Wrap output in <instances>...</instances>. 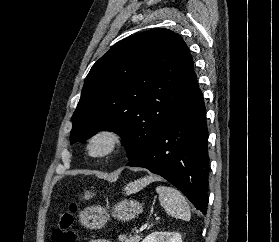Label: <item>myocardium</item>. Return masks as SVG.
Segmentation results:
<instances>
[{
  "label": "myocardium",
  "mask_w": 279,
  "mask_h": 242,
  "mask_svg": "<svg viewBox=\"0 0 279 242\" xmlns=\"http://www.w3.org/2000/svg\"><path fill=\"white\" fill-rule=\"evenodd\" d=\"M98 141H104L105 146L100 152H94L93 146ZM122 141L123 137L119 131L114 128L104 127L96 130L88 138L86 150L90 157L103 159L116 152L121 146Z\"/></svg>",
  "instance_id": "obj_1"
}]
</instances>
